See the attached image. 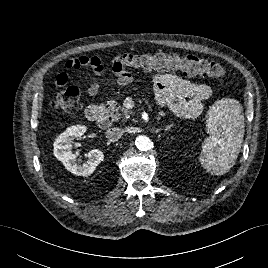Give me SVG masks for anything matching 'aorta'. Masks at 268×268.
I'll list each match as a JSON object with an SVG mask.
<instances>
[{
    "instance_id": "obj_1",
    "label": "aorta",
    "mask_w": 268,
    "mask_h": 268,
    "mask_svg": "<svg viewBox=\"0 0 268 268\" xmlns=\"http://www.w3.org/2000/svg\"><path fill=\"white\" fill-rule=\"evenodd\" d=\"M151 144H152L151 140L147 136H144V135H139L135 139V145L141 151H147L148 149H150Z\"/></svg>"
}]
</instances>
